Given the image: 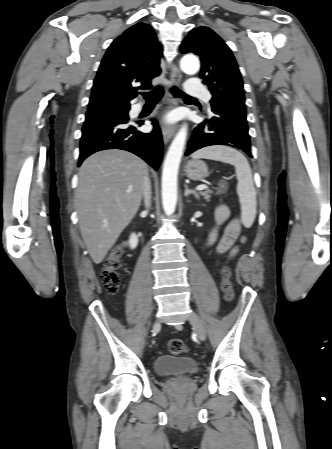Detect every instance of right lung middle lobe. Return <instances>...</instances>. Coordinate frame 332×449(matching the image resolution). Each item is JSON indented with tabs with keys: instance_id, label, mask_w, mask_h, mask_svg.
<instances>
[{
	"instance_id": "obj_1",
	"label": "right lung middle lobe",
	"mask_w": 332,
	"mask_h": 449,
	"mask_svg": "<svg viewBox=\"0 0 332 449\" xmlns=\"http://www.w3.org/2000/svg\"><path fill=\"white\" fill-rule=\"evenodd\" d=\"M129 108L109 109L105 111L87 113L85 123L100 121L110 117H128Z\"/></svg>"
}]
</instances>
